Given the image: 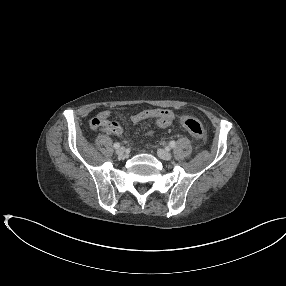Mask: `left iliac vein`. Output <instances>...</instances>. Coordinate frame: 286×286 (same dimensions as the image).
<instances>
[{
	"label": "left iliac vein",
	"instance_id": "4c4485c4",
	"mask_svg": "<svg viewBox=\"0 0 286 286\" xmlns=\"http://www.w3.org/2000/svg\"><path fill=\"white\" fill-rule=\"evenodd\" d=\"M157 154L159 156V158L163 159V160H170L172 158V154L166 150L163 149H158Z\"/></svg>",
	"mask_w": 286,
	"mask_h": 286
}]
</instances>
